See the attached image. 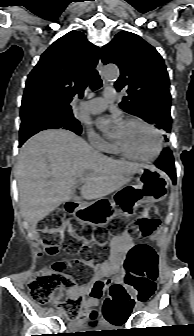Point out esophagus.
<instances>
[{
	"label": "esophagus",
	"instance_id": "34e87169",
	"mask_svg": "<svg viewBox=\"0 0 194 336\" xmlns=\"http://www.w3.org/2000/svg\"><path fill=\"white\" fill-rule=\"evenodd\" d=\"M102 67H103L102 61L101 59H99L98 64H97V70L99 73H102Z\"/></svg>",
	"mask_w": 194,
	"mask_h": 336
}]
</instances>
